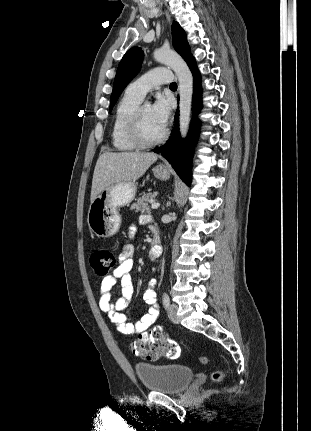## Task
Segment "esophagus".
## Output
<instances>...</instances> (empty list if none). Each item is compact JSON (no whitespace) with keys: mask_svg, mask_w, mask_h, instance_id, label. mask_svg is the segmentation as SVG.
Returning a JSON list of instances; mask_svg holds the SVG:
<instances>
[{"mask_svg":"<svg viewBox=\"0 0 311 431\" xmlns=\"http://www.w3.org/2000/svg\"><path fill=\"white\" fill-rule=\"evenodd\" d=\"M166 18H167V22L170 24V16L168 14V12H165Z\"/></svg>","mask_w":311,"mask_h":431,"instance_id":"esophagus-1","label":"esophagus"}]
</instances>
